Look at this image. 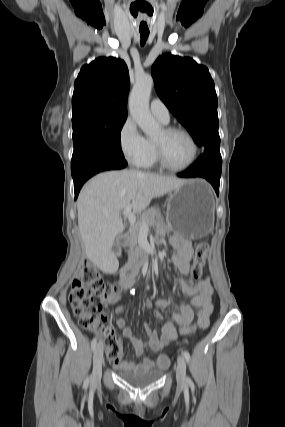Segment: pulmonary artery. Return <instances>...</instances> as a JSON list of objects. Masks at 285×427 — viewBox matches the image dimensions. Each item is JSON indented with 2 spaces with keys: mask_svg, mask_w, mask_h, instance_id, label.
<instances>
[{
  "mask_svg": "<svg viewBox=\"0 0 285 427\" xmlns=\"http://www.w3.org/2000/svg\"><path fill=\"white\" fill-rule=\"evenodd\" d=\"M151 113L155 118L164 124H167L170 120L169 110L166 105L158 98H155L150 103Z\"/></svg>",
  "mask_w": 285,
  "mask_h": 427,
  "instance_id": "e3ab8cb5",
  "label": "pulmonary artery"
}]
</instances>
